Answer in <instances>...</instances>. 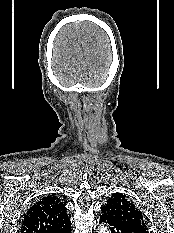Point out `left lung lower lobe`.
<instances>
[{
	"mask_svg": "<svg viewBox=\"0 0 174 233\" xmlns=\"http://www.w3.org/2000/svg\"><path fill=\"white\" fill-rule=\"evenodd\" d=\"M100 221L109 227L111 233H148V230L145 227L112 218L110 215L103 213V211Z\"/></svg>",
	"mask_w": 174,
	"mask_h": 233,
	"instance_id": "1",
	"label": "left lung lower lobe"
}]
</instances>
